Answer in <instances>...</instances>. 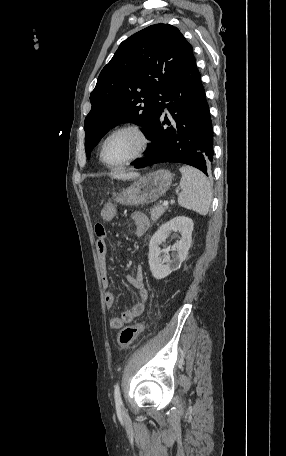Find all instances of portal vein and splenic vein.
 Masks as SVG:
<instances>
[{
	"label": "portal vein and splenic vein",
	"instance_id": "18ae733b",
	"mask_svg": "<svg viewBox=\"0 0 286 456\" xmlns=\"http://www.w3.org/2000/svg\"><path fill=\"white\" fill-rule=\"evenodd\" d=\"M167 205H168V201L165 200V201L163 202V206H167Z\"/></svg>",
	"mask_w": 286,
	"mask_h": 456
}]
</instances>
